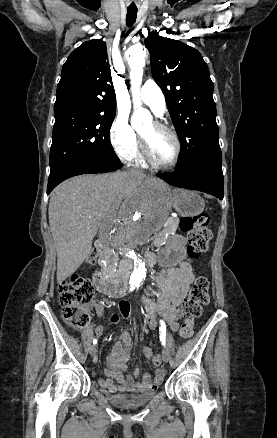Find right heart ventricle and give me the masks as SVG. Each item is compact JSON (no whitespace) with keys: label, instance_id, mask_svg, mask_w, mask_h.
<instances>
[{"label":"right heart ventricle","instance_id":"1","mask_svg":"<svg viewBox=\"0 0 277 438\" xmlns=\"http://www.w3.org/2000/svg\"><path fill=\"white\" fill-rule=\"evenodd\" d=\"M136 161L143 166L146 165L144 159L142 158V156L140 154L136 155Z\"/></svg>","mask_w":277,"mask_h":438}]
</instances>
